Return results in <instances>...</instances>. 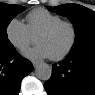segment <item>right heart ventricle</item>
<instances>
[{
  "instance_id": "right-heart-ventricle-1",
  "label": "right heart ventricle",
  "mask_w": 95,
  "mask_h": 95,
  "mask_svg": "<svg viewBox=\"0 0 95 95\" xmlns=\"http://www.w3.org/2000/svg\"><path fill=\"white\" fill-rule=\"evenodd\" d=\"M59 21H62L59 15L43 8L32 10L26 16V26L33 36L38 35L40 31Z\"/></svg>"
}]
</instances>
